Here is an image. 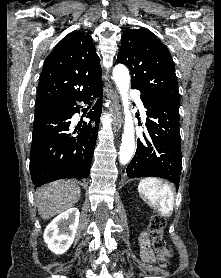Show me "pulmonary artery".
<instances>
[{"label":"pulmonary artery","instance_id":"1","mask_svg":"<svg viewBox=\"0 0 221 278\" xmlns=\"http://www.w3.org/2000/svg\"><path fill=\"white\" fill-rule=\"evenodd\" d=\"M133 96H134V98H135V100L137 102V105H138V107H139V109L141 111V114H142L143 118H145V116H146L145 108L143 106V103H142L140 97L138 95H136V93H134Z\"/></svg>","mask_w":221,"mask_h":278}]
</instances>
